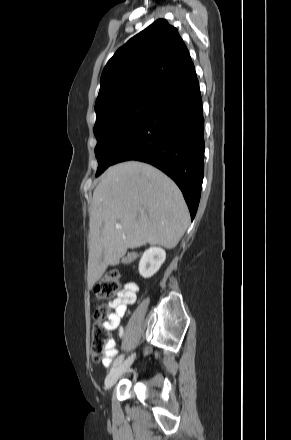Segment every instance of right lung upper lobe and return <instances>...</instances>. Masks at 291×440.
Masks as SVG:
<instances>
[{"label": "right lung upper lobe", "mask_w": 291, "mask_h": 440, "mask_svg": "<svg viewBox=\"0 0 291 440\" xmlns=\"http://www.w3.org/2000/svg\"><path fill=\"white\" fill-rule=\"evenodd\" d=\"M195 70L175 27L158 19L119 48L101 75L95 108L139 96L156 97Z\"/></svg>", "instance_id": "right-lung-upper-lobe-1"}]
</instances>
